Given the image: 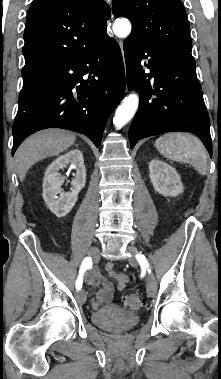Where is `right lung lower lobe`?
<instances>
[{"instance_id":"98d812e1","label":"right lung lower lobe","mask_w":221,"mask_h":379,"mask_svg":"<svg viewBox=\"0 0 221 379\" xmlns=\"http://www.w3.org/2000/svg\"><path fill=\"white\" fill-rule=\"evenodd\" d=\"M12 156L30 134L63 128L99 147L106 121L125 91L122 54L106 35L90 49L22 74Z\"/></svg>"}]
</instances>
